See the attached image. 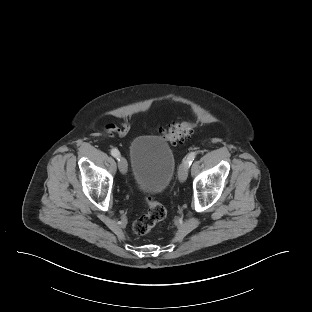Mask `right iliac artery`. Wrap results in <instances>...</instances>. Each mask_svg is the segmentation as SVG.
Wrapping results in <instances>:
<instances>
[{"mask_svg": "<svg viewBox=\"0 0 312 312\" xmlns=\"http://www.w3.org/2000/svg\"><path fill=\"white\" fill-rule=\"evenodd\" d=\"M111 154L113 157H115L117 159L120 157V152L117 149H112Z\"/></svg>", "mask_w": 312, "mask_h": 312, "instance_id": "82829eb1", "label": "right iliac artery"}]
</instances>
